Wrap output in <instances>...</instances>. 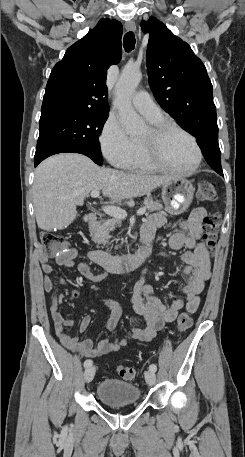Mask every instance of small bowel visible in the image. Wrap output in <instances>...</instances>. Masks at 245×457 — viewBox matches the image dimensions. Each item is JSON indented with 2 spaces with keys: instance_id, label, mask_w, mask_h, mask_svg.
<instances>
[{
  "instance_id": "small-bowel-1",
  "label": "small bowel",
  "mask_w": 245,
  "mask_h": 457,
  "mask_svg": "<svg viewBox=\"0 0 245 457\" xmlns=\"http://www.w3.org/2000/svg\"><path fill=\"white\" fill-rule=\"evenodd\" d=\"M207 216V212L203 207H194L189 216L180 222L181 232H176L171 235L169 245L172 249L179 250L186 248L182 254V261L185 264L184 274L187 278L186 284L182 287L185 299H176L169 305H165L155 295L151 285L145 283L142 276L134 286L132 295V304L135 312L142 316L146 321V327L132 328L130 332L119 339L110 341L104 339L97 346L93 345L92 340H79L76 336L66 332V328L73 325L72 320L65 318L61 311L60 305L64 299L61 293H54L50 299V312L54 322L56 334L60 342L68 349L75 351L87 357H98L107 355L126 347L129 341L139 340L148 342L152 340L158 331H160L166 323L175 321L179 311L185 307L189 313L197 311L200 305V297L205 282L211 274V265L207 249L199 242L203 231V223ZM167 223L166 217L161 213H153L145 222L142 229L143 247L151 249V243L157 231L163 228ZM76 252L70 250L67 254H59L55 256V261L58 265L64 267H74ZM51 258L48 255H42L40 258L43 272V287L46 292H52L55 284H65L58 278L55 280L52 277L53 266L50 263ZM78 272L86 279L93 282H100L105 278L104 273H93L90 267L85 263L77 265ZM79 296V291L74 290L71 293V299H76ZM101 301L110 308L111 314L105 325L109 331L115 329L121 315V306L109 299L101 298ZM90 322V317L85 316L80 324L79 331L86 330Z\"/></svg>"
}]
</instances>
